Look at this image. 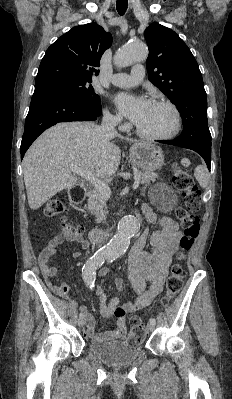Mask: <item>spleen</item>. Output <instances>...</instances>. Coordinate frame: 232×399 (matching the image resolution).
<instances>
[{"label":"spleen","instance_id":"obj_1","mask_svg":"<svg viewBox=\"0 0 232 399\" xmlns=\"http://www.w3.org/2000/svg\"><path fill=\"white\" fill-rule=\"evenodd\" d=\"M194 176L201 188H207L210 176L206 166H197Z\"/></svg>","mask_w":232,"mask_h":399}]
</instances>
